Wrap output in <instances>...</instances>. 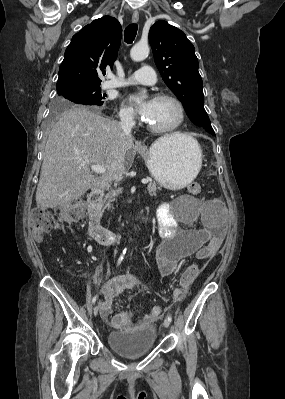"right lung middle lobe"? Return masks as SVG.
Listing matches in <instances>:
<instances>
[{"label":"right lung middle lobe","instance_id":"1","mask_svg":"<svg viewBox=\"0 0 285 399\" xmlns=\"http://www.w3.org/2000/svg\"><path fill=\"white\" fill-rule=\"evenodd\" d=\"M53 116L62 110L78 105L102 106L106 105L105 94H101L99 87L90 89H66L57 92Z\"/></svg>","mask_w":285,"mask_h":399}]
</instances>
